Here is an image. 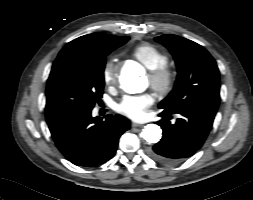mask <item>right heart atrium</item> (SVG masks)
I'll return each instance as SVG.
<instances>
[{
  "mask_svg": "<svg viewBox=\"0 0 253 200\" xmlns=\"http://www.w3.org/2000/svg\"><path fill=\"white\" fill-rule=\"evenodd\" d=\"M103 81L106 85H112L117 77V67L113 60L105 63L102 71Z\"/></svg>",
  "mask_w": 253,
  "mask_h": 200,
  "instance_id": "right-heart-atrium-1",
  "label": "right heart atrium"
}]
</instances>
